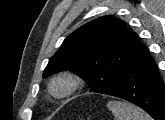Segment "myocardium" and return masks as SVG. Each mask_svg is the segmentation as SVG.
Segmentation results:
<instances>
[{
	"label": "myocardium",
	"instance_id": "obj_1",
	"mask_svg": "<svg viewBox=\"0 0 165 120\" xmlns=\"http://www.w3.org/2000/svg\"><path fill=\"white\" fill-rule=\"evenodd\" d=\"M80 77L72 72H62L53 77L50 82L51 93L58 98L72 95L81 87Z\"/></svg>",
	"mask_w": 165,
	"mask_h": 120
}]
</instances>
